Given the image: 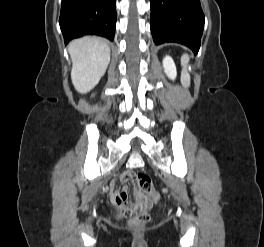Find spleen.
Segmentation results:
<instances>
[{"instance_id":"spleen-1","label":"spleen","mask_w":264,"mask_h":247,"mask_svg":"<svg viewBox=\"0 0 264 247\" xmlns=\"http://www.w3.org/2000/svg\"><path fill=\"white\" fill-rule=\"evenodd\" d=\"M188 62H189V56L187 54H184L181 57V65L183 67L182 73H181V81L185 87H188L190 85V75L187 71Z\"/></svg>"}]
</instances>
